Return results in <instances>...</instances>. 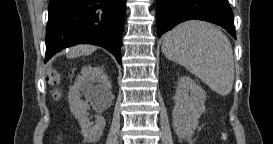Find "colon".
Listing matches in <instances>:
<instances>
[{"mask_svg": "<svg viewBox=\"0 0 273 144\" xmlns=\"http://www.w3.org/2000/svg\"><path fill=\"white\" fill-rule=\"evenodd\" d=\"M59 74L57 72H52L50 74V80L53 84H57L59 82Z\"/></svg>", "mask_w": 273, "mask_h": 144, "instance_id": "5ec220e1", "label": "colon"}]
</instances>
